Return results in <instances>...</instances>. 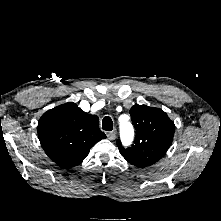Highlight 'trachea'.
<instances>
[{"label":"trachea","mask_w":221,"mask_h":221,"mask_svg":"<svg viewBox=\"0 0 221 221\" xmlns=\"http://www.w3.org/2000/svg\"><path fill=\"white\" fill-rule=\"evenodd\" d=\"M102 128L103 130H106V131H111L113 129V122L109 116H106L103 118Z\"/></svg>","instance_id":"1"}]
</instances>
